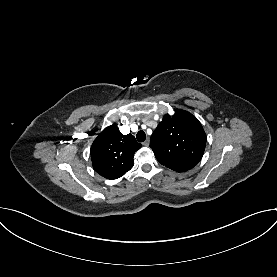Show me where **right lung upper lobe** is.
<instances>
[{"label":"right lung upper lobe","instance_id":"cb5924a9","mask_svg":"<svg viewBox=\"0 0 277 277\" xmlns=\"http://www.w3.org/2000/svg\"><path fill=\"white\" fill-rule=\"evenodd\" d=\"M140 148L141 144L133 135H123L113 124L105 128L91 146L93 168L107 179L120 178L133 167L134 153Z\"/></svg>","mask_w":277,"mask_h":277}]
</instances>
